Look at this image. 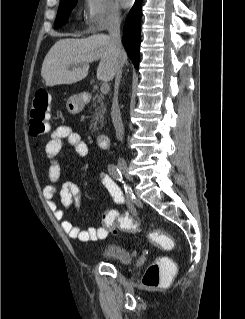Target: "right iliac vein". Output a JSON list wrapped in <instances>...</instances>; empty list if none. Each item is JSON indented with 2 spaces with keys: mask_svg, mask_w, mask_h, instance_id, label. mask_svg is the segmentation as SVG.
<instances>
[{
  "mask_svg": "<svg viewBox=\"0 0 245 319\" xmlns=\"http://www.w3.org/2000/svg\"><path fill=\"white\" fill-rule=\"evenodd\" d=\"M118 167L121 170V172L124 174V176L127 178V180L133 181V177L129 173L128 167L124 162L119 163Z\"/></svg>",
  "mask_w": 245,
  "mask_h": 319,
  "instance_id": "right-iliac-vein-1",
  "label": "right iliac vein"
}]
</instances>
